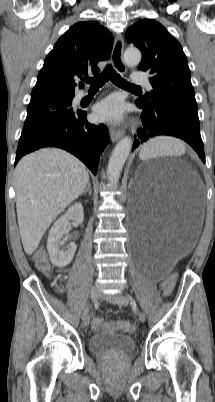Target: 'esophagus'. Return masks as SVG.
<instances>
[{
	"instance_id": "34e87169",
	"label": "esophagus",
	"mask_w": 215,
	"mask_h": 402,
	"mask_svg": "<svg viewBox=\"0 0 215 402\" xmlns=\"http://www.w3.org/2000/svg\"><path fill=\"white\" fill-rule=\"evenodd\" d=\"M123 50H124L123 37L121 35H118L114 41L113 50L111 54V62L115 70L122 75L126 74L127 71L122 57ZM123 133H124L123 130L120 128H111L110 137L112 142L118 141L123 136Z\"/></svg>"
}]
</instances>
